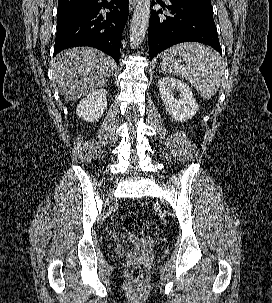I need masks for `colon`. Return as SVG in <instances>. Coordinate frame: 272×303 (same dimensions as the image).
Returning a JSON list of instances; mask_svg holds the SVG:
<instances>
[{
    "instance_id": "colon-1",
    "label": "colon",
    "mask_w": 272,
    "mask_h": 303,
    "mask_svg": "<svg viewBox=\"0 0 272 303\" xmlns=\"http://www.w3.org/2000/svg\"><path fill=\"white\" fill-rule=\"evenodd\" d=\"M122 226L128 234L139 235L143 232L144 222L136 212H127L122 217ZM132 272L135 277H139L141 273L140 266L136 265Z\"/></svg>"
}]
</instances>
